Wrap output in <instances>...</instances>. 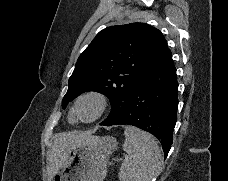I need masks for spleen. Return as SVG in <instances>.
I'll return each mask as SVG.
<instances>
[{
	"label": "spleen",
	"instance_id": "3e777b00",
	"mask_svg": "<svg viewBox=\"0 0 228 181\" xmlns=\"http://www.w3.org/2000/svg\"><path fill=\"white\" fill-rule=\"evenodd\" d=\"M123 151L127 153L122 161L119 181H152L158 177L162 155L156 139L136 127H124Z\"/></svg>",
	"mask_w": 228,
	"mask_h": 181
}]
</instances>
